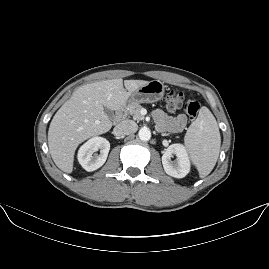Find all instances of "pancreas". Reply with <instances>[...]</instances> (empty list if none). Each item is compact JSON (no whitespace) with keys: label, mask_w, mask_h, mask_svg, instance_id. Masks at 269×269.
Returning <instances> with one entry per match:
<instances>
[{"label":"pancreas","mask_w":269,"mask_h":269,"mask_svg":"<svg viewBox=\"0 0 269 269\" xmlns=\"http://www.w3.org/2000/svg\"><path fill=\"white\" fill-rule=\"evenodd\" d=\"M142 106L139 103L132 102L128 105V113L133 116L135 120H143L144 116L141 114Z\"/></svg>","instance_id":"cf45deb5"}]
</instances>
